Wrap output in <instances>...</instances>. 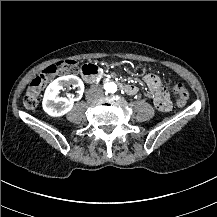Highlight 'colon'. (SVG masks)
I'll return each mask as SVG.
<instances>
[{
    "label": "colon",
    "mask_w": 217,
    "mask_h": 217,
    "mask_svg": "<svg viewBox=\"0 0 217 217\" xmlns=\"http://www.w3.org/2000/svg\"><path fill=\"white\" fill-rule=\"evenodd\" d=\"M79 65L76 60L70 59L64 63V66H53L48 68L40 76L35 77L28 85L23 97V105L27 109H35L38 102V95L42 88H50L56 80H62L67 77V74L73 75L78 72ZM172 92L176 95V104L184 106L189 99V91L186 86L179 81L170 83Z\"/></svg>",
    "instance_id": "1"
}]
</instances>
